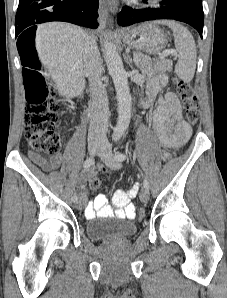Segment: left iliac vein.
<instances>
[{
    "mask_svg": "<svg viewBox=\"0 0 227 298\" xmlns=\"http://www.w3.org/2000/svg\"><path fill=\"white\" fill-rule=\"evenodd\" d=\"M97 154L109 168L114 170L120 168V162L116 160L109 144L104 143ZM149 198H150V194L148 189L143 188L140 192V200L143 203H146L148 202Z\"/></svg>",
    "mask_w": 227,
    "mask_h": 298,
    "instance_id": "left-iliac-vein-1",
    "label": "left iliac vein"
}]
</instances>
